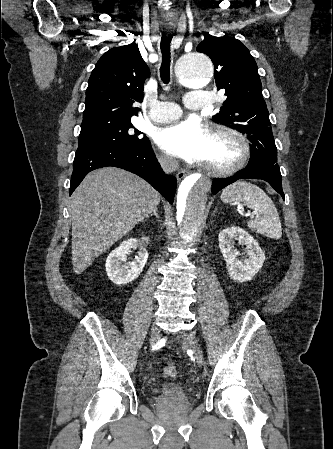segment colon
<instances>
[{"instance_id":"colon-1","label":"colon","mask_w":333,"mask_h":449,"mask_svg":"<svg viewBox=\"0 0 333 449\" xmlns=\"http://www.w3.org/2000/svg\"><path fill=\"white\" fill-rule=\"evenodd\" d=\"M163 372L165 374V376L169 377V378H174L177 376V368L174 365H166L163 368Z\"/></svg>"}]
</instances>
